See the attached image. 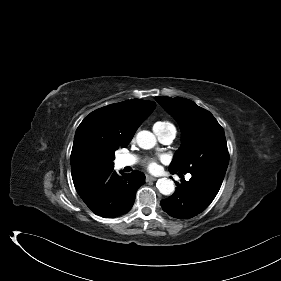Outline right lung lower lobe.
Wrapping results in <instances>:
<instances>
[{"label":"right lung lower lobe","mask_w":281,"mask_h":281,"mask_svg":"<svg viewBox=\"0 0 281 281\" xmlns=\"http://www.w3.org/2000/svg\"><path fill=\"white\" fill-rule=\"evenodd\" d=\"M145 183V175L134 171L119 176L109 169L76 188L85 204L104 218L128 212L135 201L138 188Z\"/></svg>","instance_id":"1"}]
</instances>
